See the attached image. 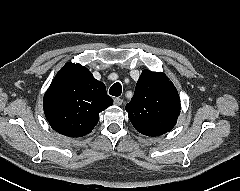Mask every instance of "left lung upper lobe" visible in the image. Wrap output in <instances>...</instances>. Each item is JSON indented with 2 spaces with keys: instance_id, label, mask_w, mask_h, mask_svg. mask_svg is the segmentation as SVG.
Segmentation results:
<instances>
[{
  "instance_id": "left-lung-upper-lobe-1",
  "label": "left lung upper lobe",
  "mask_w": 240,
  "mask_h": 191,
  "mask_svg": "<svg viewBox=\"0 0 240 191\" xmlns=\"http://www.w3.org/2000/svg\"><path fill=\"white\" fill-rule=\"evenodd\" d=\"M181 109L178 92L160 72L143 70L131 102L126 105L128 117L137 131L147 136L169 132Z\"/></svg>"
}]
</instances>
